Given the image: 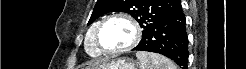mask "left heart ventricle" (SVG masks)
Wrapping results in <instances>:
<instances>
[{
  "instance_id": "b2bd125f",
  "label": "left heart ventricle",
  "mask_w": 246,
  "mask_h": 69,
  "mask_svg": "<svg viewBox=\"0 0 246 69\" xmlns=\"http://www.w3.org/2000/svg\"><path fill=\"white\" fill-rule=\"evenodd\" d=\"M133 36L131 25L122 19L110 20L100 32L102 45L109 49H118L128 45Z\"/></svg>"
}]
</instances>
